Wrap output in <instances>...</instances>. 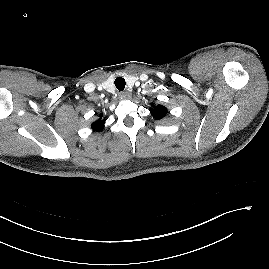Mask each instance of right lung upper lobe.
<instances>
[{"instance_id": "1", "label": "right lung upper lobe", "mask_w": 269, "mask_h": 269, "mask_svg": "<svg viewBox=\"0 0 269 269\" xmlns=\"http://www.w3.org/2000/svg\"><path fill=\"white\" fill-rule=\"evenodd\" d=\"M104 123H105V119H102V116H100V118L92 124L93 131H101V130H103L104 129Z\"/></svg>"}]
</instances>
